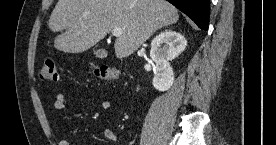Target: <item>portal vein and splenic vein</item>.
<instances>
[{
    "instance_id": "portal-vein-and-splenic-vein-1",
    "label": "portal vein and splenic vein",
    "mask_w": 276,
    "mask_h": 145,
    "mask_svg": "<svg viewBox=\"0 0 276 145\" xmlns=\"http://www.w3.org/2000/svg\"><path fill=\"white\" fill-rule=\"evenodd\" d=\"M122 29L121 28H114L112 30V35L115 36V37H119L122 35Z\"/></svg>"
}]
</instances>
